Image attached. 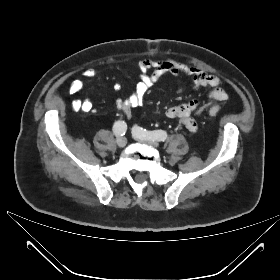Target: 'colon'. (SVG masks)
I'll return each instance as SVG.
<instances>
[{"label": "colon", "instance_id": "obj_1", "mask_svg": "<svg viewBox=\"0 0 280 280\" xmlns=\"http://www.w3.org/2000/svg\"><path fill=\"white\" fill-rule=\"evenodd\" d=\"M209 114H210L211 116H216V115L219 114V109L216 108V107H212V108L209 109Z\"/></svg>", "mask_w": 280, "mask_h": 280}]
</instances>
